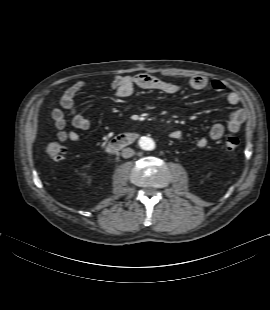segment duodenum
Returning a JSON list of instances; mask_svg holds the SVG:
<instances>
[{
	"instance_id": "obj_1",
	"label": "duodenum",
	"mask_w": 270,
	"mask_h": 310,
	"mask_svg": "<svg viewBox=\"0 0 270 310\" xmlns=\"http://www.w3.org/2000/svg\"><path fill=\"white\" fill-rule=\"evenodd\" d=\"M137 138L135 133L120 134L112 138L106 145L109 152H117L129 145H131Z\"/></svg>"
}]
</instances>
